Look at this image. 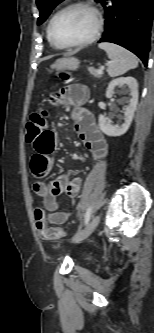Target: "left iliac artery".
<instances>
[{
  "mask_svg": "<svg viewBox=\"0 0 154 333\" xmlns=\"http://www.w3.org/2000/svg\"><path fill=\"white\" fill-rule=\"evenodd\" d=\"M91 212H92V208L89 207L85 213V225L88 224L90 218H91Z\"/></svg>",
  "mask_w": 154,
  "mask_h": 333,
  "instance_id": "1",
  "label": "left iliac artery"
}]
</instances>
